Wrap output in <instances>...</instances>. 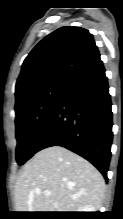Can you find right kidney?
<instances>
[{
  "instance_id": "right-kidney-1",
  "label": "right kidney",
  "mask_w": 123,
  "mask_h": 219,
  "mask_svg": "<svg viewBox=\"0 0 123 219\" xmlns=\"http://www.w3.org/2000/svg\"><path fill=\"white\" fill-rule=\"evenodd\" d=\"M78 212H96L95 208L91 205L83 206Z\"/></svg>"
}]
</instances>
